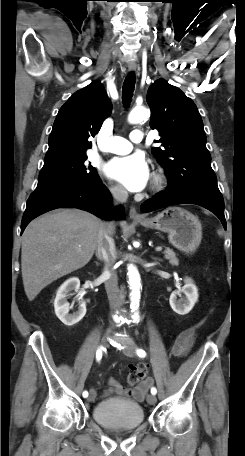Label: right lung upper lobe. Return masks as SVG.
<instances>
[{"mask_svg": "<svg viewBox=\"0 0 245 456\" xmlns=\"http://www.w3.org/2000/svg\"><path fill=\"white\" fill-rule=\"evenodd\" d=\"M111 103L100 81L75 92L60 108L49 136L44 166L86 155L95 136L110 115Z\"/></svg>", "mask_w": 245, "mask_h": 456, "instance_id": "1", "label": "right lung upper lobe"}]
</instances>
